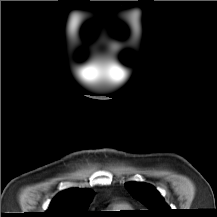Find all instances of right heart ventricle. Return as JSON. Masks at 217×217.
I'll return each instance as SVG.
<instances>
[{
  "label": "right heart ventricle",
  "instance_id": "1",
  "mask_svg": "<svg viewBox=\"0 0 217 217\" xmlns=\"http://www.w3.org/2000/svg\"><path fill=\"white\" fill-rule=\"evenodd\" d=\"M128 209H130V206L127 204H123V203L112 204L108 208V210L110 212H112L113 214H119V213L124 212Z\"/></svg>",
  "mask_w": 217,
  "mask_h": 217
}]
</instances>
